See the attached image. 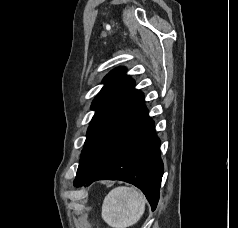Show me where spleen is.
<instances>
[{
  "mask_svg": "<svg viewBox=\"0 0 238 228\" xmlns=\"http://www.w3.org/2000/svg\"><path fill=\"white\" fill-rule=\"evenodd\" d=\"M145 204V196L136 188L116 187L104 198L101 216L112 228H127L140 220Z\"/></svg>",
  "mask_w": 238,
  "mask_h": 228,
  "instance_id": "obj_1",
  "label": "spleen"
}]
</instances>
